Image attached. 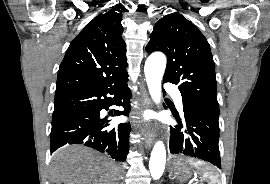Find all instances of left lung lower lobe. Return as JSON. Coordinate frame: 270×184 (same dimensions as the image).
<instances>
[{"label": "left lung lower lobe", "instance_id": "1", "mask_svg": "<svg viewBox=\"0 0 270 184\" xmlns=\"http://www.w3.org/2000/svg\"><path fill=\"white\" fill-rule=\"evenodd\" d=\"M174 116L178 125L171 127L170 152L201 159L221 169L218 147L219 116L185 100H183L184 124L179 114Z\"/></svg>", "mask_w": 270, "mask_h": 184}]
</instances>
